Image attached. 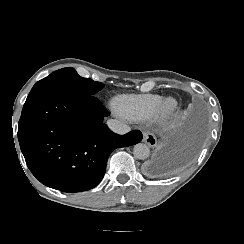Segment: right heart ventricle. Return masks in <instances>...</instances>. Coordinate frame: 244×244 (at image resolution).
<instances>
[{
    "instance_id": "right-heart-ventricle-1",
    "label": "right heart ventricle",
    "mask_w": 244,
    "mask_h": 244,
    "mask_svg": "<svg viewBox=\"0 0 244 244\" xmlns=\"http://www.w3.org/2000/svg\"><path fill=\"white\" fill-rule=\"evenodd\" d=\"M159 102V96L126 95L116 99L114 108L116 114L127 121H147L157 110Z\"/></svg>"
}]
</instances>
